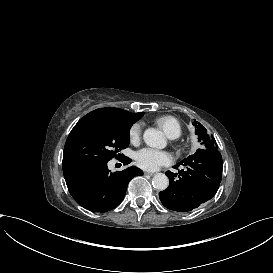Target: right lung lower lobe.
<instances>
[{
	"mask_svg": "<svg viewBox=\"0 0 273 273\" xmlns=\"http://www.w3.org/2000/svg\"><path fill=\"white\" fill-rule=\"evenodd\" d=\"M121 161L127 165L131 159L124 156ZM107 163H82L63 170L70 194L87 210L107 212L115 208L124 199L129 181L143 174L135 166L111 173Z\"/></svg>",
	"mask_w": 273,
	"mask_h": 273,
	"instance_id": "1",
	"label": "right lung lower lobe"
}]
</instances>
